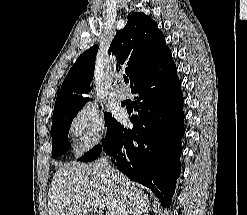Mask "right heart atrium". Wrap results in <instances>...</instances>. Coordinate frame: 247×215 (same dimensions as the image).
I'll return each mask as SVG.
<instances>
[{
	"instance_id": "1",
	"label": "right heart atrium",
	"mask_w": 247,
	"mask_h": 215,
	"mask_svg": "<svg viewBox=\"0 0 247 215\" xmlns=\"http://www.w3.org/2000/svg\"><path fill=\"white\" fill-rule=\"evenodd\" d=\"M104 114L97 107L86 105L80 108L69 124V133L76 143L78 153L95 148L106 135Z\"/></svg>"
}]
</instances>
